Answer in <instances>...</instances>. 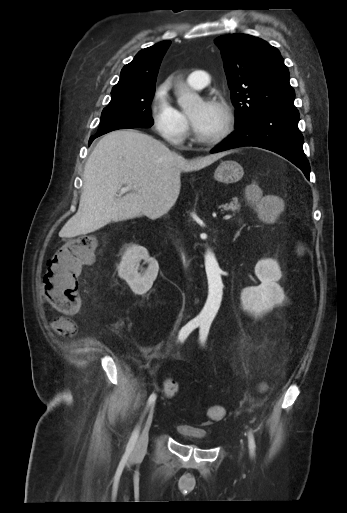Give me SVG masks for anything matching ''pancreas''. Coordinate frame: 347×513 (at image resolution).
<instances>
[{
  "label": "pancreas",
  "instance_id": "1",
  "mask_svg": "<svg viewBox=\"0 0 347 513\" xmlns=\"http://www.w3.org/2000/svg\"><path fill=\"white\" fill-rule=\"evenodd\" d=\"M224 211H230L233 215L240 212V204L238 202V198L234 197L230 201V203L222 204L219 206Z\"/></svg>",
  "mask_w": 347,
  "mask_h": 513
}]
</instances>
